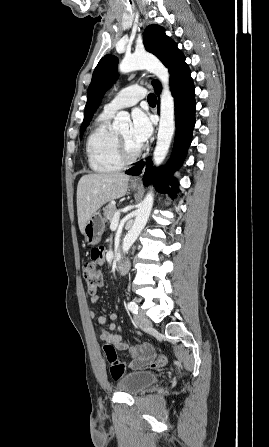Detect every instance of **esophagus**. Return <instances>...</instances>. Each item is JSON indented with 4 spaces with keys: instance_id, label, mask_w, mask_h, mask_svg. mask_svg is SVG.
I'll use <instances>...</instances> for the list:
<instances>
[{
    "instance_id": "34e87169",
    "label": "esophagus",
    "mask_w": 269,
    "mask_h": 447,
    "mask_svg": "<svg viewBox=\"0 0 269 447\" xmlns=\"http://www.w3.org/2000/svg\"><path fill=\"white\" fill-rule=\"evenodd\" d=\"M142 175V174H141ZM141 175L135 177L134 179L131 180L132 184H138L141 183Z\"/></svg>"
}]
</instances>
